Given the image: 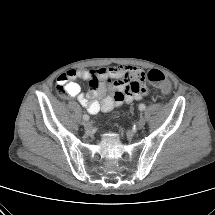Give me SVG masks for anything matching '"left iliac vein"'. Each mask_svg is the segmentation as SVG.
Instances as JSON below:
<instances>
[{
	"label": "left iliac vein",
	"instance_id": "4c4485c4",
	"mask_svg": "<svg viewBox=\"0 0 215 215\" xmlns=\"http://www.w3.org/2000/svg\"><path fill=\"white\" fill-rule=\"evenodd\" d=\"M144 125H145V119H144V117H141L137 123V129L138 130L142 129L144 127Z\"/></svg>",
	"mask_w": 215,
	"mask_h": 215
}]
</instances>
